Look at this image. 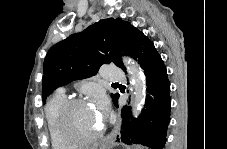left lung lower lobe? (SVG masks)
I'll return each mask as SVG.
<instances>
[{
  "label": "left lung lower lobe",
  "instance_id": "left-lung-lower-lobe-1",
  "mask_svg": "<svg viewBox=\"0 0 227 149\" xmlns=\"http://www.w3.org/2000/svg\"><path fill=\"white\" fill-rule=\"evenodd\" d=\"M127 55L137 60L144 69L148 94L144 109L137 119L132 117L130 107L121 109V140L126 144L161 149L166 142L171 109L170 82L166 67L152 41L137 29L130 35ZM122 69L125 71V67ZM118 98L119 94L113 100L116 107Z\"/></svg>",
  "mask_w": 227,
  "mask_h": 149
}]
</instances>
